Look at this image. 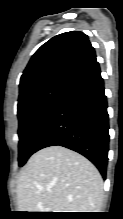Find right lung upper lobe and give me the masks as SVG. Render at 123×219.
I'll list each match as a JSON object with an SVG mask.
<instances>
[{"mask_svg": "<svg viewBox=\"0 0 123 219\" xmlns=\"http://www.w3.org/2000/svg\"><path fill=\"white\" fill-rule=\"evenodd\" d=\"M96 62L95 50L87 35L80 31L59 34L43 44L30 59L20 79L19 97L52 81H69Z\"/></svg>", "mask_w": 123, "mask_h": 219, "instance_id": "obj_1", "label": "right lung upper lobe"}]
</instances>
